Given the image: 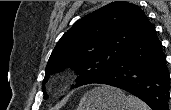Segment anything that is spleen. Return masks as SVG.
<instances>
[{"label": "spleen", "instance_id": "1", "mask_svg": "<svg viewBox=\"0 0 171 110\" xmlns=\"http://www.w3.org/2000/svg\"><path fill=\"white\" fill-rule=\"evenodd\" d=\"M130 110H150L149 106L133 95L127 96Z\"/></svg>", "mask_w": 171, "mask_h": 110}]
</instances>
